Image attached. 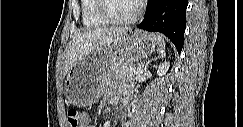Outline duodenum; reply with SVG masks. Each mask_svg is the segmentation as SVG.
I'll list each match as a JSON object with an SVG mask.
<instances>
[{
  "instance_id": "1",
  "label": "duodenum",
  "mask_w": 243,
  "mask_h": 127,
  "mask_svg": "<svg viewBox=\"0 0 243 127\" xmlns=\"http://www.w3.org/2000/svg\"><path fill=\"white\" fill-rule=\"evenodd\" d=\"M128 100H129V96H125L124 102H128Z\"/></svg>"
}]
</instances>
